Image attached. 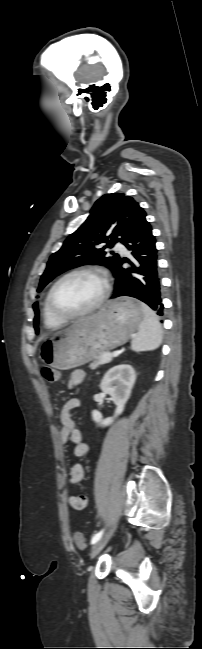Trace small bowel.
<instances>
[{
    "mask_svg": "<svg viewBox=\"0 0 202 649\" xmlns=\"http://www.w3.org/2000/svg\"><path fill=\"white\" fill-rule=\"evenodd\" d=\"M85 373L83 370H74L70 373L68 384L70 387H77L84 381ZM79 401L77 399L68 400L61 409L60 423L61 428L59 431V441L62 445L61 459L65 458L64 446L71 442L74 445L73 453L76 457H84L89 452V446L82 441L81 432L75 427L73 413L78 408ZM84 477V469L80 463H74L70 467L69 481L71 484H79ZM70 506L77 510H82L86 507L87 498L85 495L80 494L72 496L68 499Z\"/></svg>",
    "mask_w": 202,
    "mask_h": 649,
    "instance_id": "c3829d8e",
    "label": "small bowel"
}]
</instances>
